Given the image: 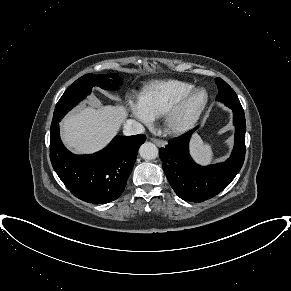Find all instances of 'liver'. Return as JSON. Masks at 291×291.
Wrapping results in <instances>:
<instances>
[{
	"label": "liver",
	"instance_id": "obj_1",
	"mask_svg": "<svg viewBox=\"0 0 291 291\" xmlns=\"http://www.w3.org/2000/svg\"><path fill=\"white\" fill-rule=\"evenodd\" d=\"M127 115L126 108L118 105L77 110L63 120V142L76 153L96 152L117 133Z\"/></svg>",
	"mask_w": 291,
	"mask_h": 291
}]
</instances>
